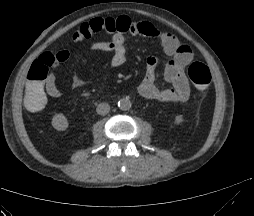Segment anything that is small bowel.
<instances>
[{"label":"small bowel","instance_id":"c3829d8e","mask_svg":"<svg viewBox=\"0 0 254 216\" xmlns=\"http://www.w3.org/2000/svg\"><path fill=\"white\" fill-rule=\"evenodd\" d=\"M99 31L111 34V40L93 43L90 49L111 52L110 63L114 68L121 67L126 62V34L158 39L165 54L170 57L163 73V79L170 87L161 89L155 84L158 60L155 56H150L147 59L144 77L138 86V93L146 99L158 102H185L189 99L190 86L184 73L185 67L193 58V51L189 45L180 42L172 33L161 31L150 22L133 21L128 17L98 18L86 22L72 34V40L82 41ZM57 53L59 62L66 61L70 57V52L66 49ZM43 89L52 98H59L62 95L54 72H50L47 76Z\"/></svg>","mask_w":254,"mask_h":216}]
</instances>
